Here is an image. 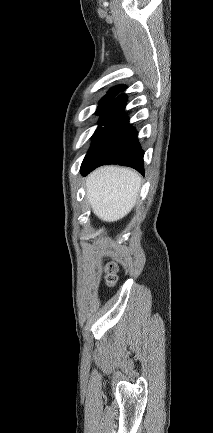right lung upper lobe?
<instances>
[{
    "instance_id": "1",
    "label": "right lung upper lobe",
    "mask_w": 213,
    "mask_h": 433,
    "mask_svg": "<svg viewBox=\"0 0 213 433\" xmlns=\"http://www.w3.org/2000/svg\"><path fill=\"white\" fill-rule=\"evenodd\" d=\"M126 89L125 85H118L113 87L112 89L109 90L108 94L106 96H114L116 97L118 95L119 92H122Z\"/></svg>"
}]
</instances>
